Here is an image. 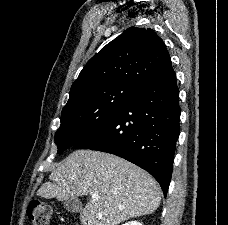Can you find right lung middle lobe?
<instances>
[{
	"label": "right lung middle lobe",
	"instance_id": "obj_1",
	"mask_svg": "<svg viewBox=\"0 0 228 225\" xmlns=\"http://www.w3.org/2000/svg\"><path fill=\"white\" fill-rule=\"evenodd\" d=\"M136 89L124 83L107 84L90 89L67 103L62 110L61 126L55 134L58 153L110 118Z\"/></svg>",
	"mask_w": 228,
	"mask_h": 225
}]
</instances>
